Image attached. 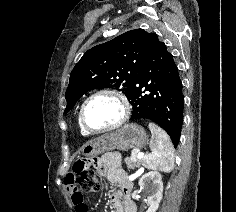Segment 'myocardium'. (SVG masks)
I'll list each match as a JSON object with an SVG mask.
<instances>
[{
    "mask_svg": "<svg viewBox=\"0 0 236 212\" xmlns=\"http://www.w3.org/2000/svg\"><path fill=\"white\" fill-rule=\"evenodd\" d=\"M99 96H110L118 101L121 107V114L120 117L118 118L117 121L114 123L100 129H91L90 127L87 126L85 123L84 119V112L85 108L88 105V103L99 97ZM130 110L131 106L128 101V99L118 90L111 89V88H103L99 89L92 94H90L82 103L79 111V124L82 127V129L87 133V134H100V133H105V132H110L113 130H116L120 128L129 118L130 115Z\"/></svg>",
    "mask_w": 236,
    "mask_h": 212,
    "instance_id": "1",
    "label": "myocardium"
}]
</instances>
